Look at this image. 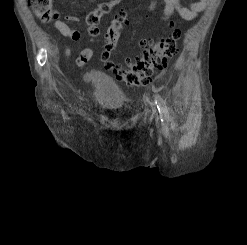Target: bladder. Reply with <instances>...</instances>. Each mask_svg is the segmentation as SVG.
I'll list each match as a JSON object with an SVG mask.
<instances>
[{"label":"bladder","mask_w":247,"mask_h":245,"mask_svg":"<svg viewBox=\"0 0 247 245\" xmlns=\"http://www.w3.org/2000/svg\"><path fill=\"white\" fill-rule=\"evenodd\" d=\"M88 77L93 85V95L97 105L110 111L123 107L125 94L111 77L99 70L92 71Z\"/></svg>","instance_id":"bladder-1"}]
</instances>
